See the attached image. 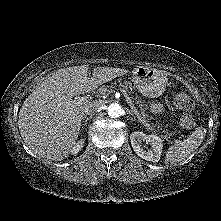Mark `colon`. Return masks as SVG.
Here are the masks:
<instances>
[{"instance_id":"colon-1","label":"colon","mask_w":221,"mask_h":221,"mask_svg":"<svg viewBox=\"0 0 221 221\" xmlns=\"http://www.w3.org/2000/svg\"><path fill=\"white\" fill-rule=\"evenodd\" d=\"M174 103L179 109L186 112L180 120L181 126L185 129L193 128L195 119L189 112L194 108V102L185 89L180 88L175 92Z\"/></svg>"}]
</instances>
